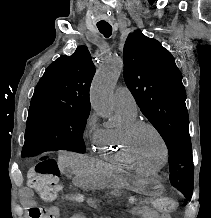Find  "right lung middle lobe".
Segmentation results:
<instances>
[{
    "mask_svg": "<svg viewBox=\"0 0 211 218\" xmlns=\"http://www.w3.org/2000/svg\"><path fill=\"white\" fill-rule=\"evenodd\" d=\"M89 111L51 105L30 106L25 139L51 147L72 146L84 153L83 131Z\"/></svg>",
    "mask_w": 211,
    "mask_h": 218,
    "instance_id": "obj_1",
    "label": "right lung middle lobe"
}]
</instances>
